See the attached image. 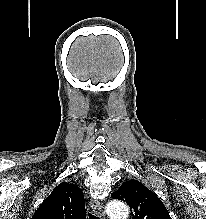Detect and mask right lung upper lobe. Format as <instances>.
<instances>
[{
  "mask_svg": "<svg viewBox=\"0 0 206 219\" xmlns=\"http://www.w3.org/2000/svg\"><path fill=\"white\" fill-rule=\"evenodd\" d=\"M31 219H86L83 192L74 184L61 183Z\"/></svg>",
  "mask_w": 206,
  "mask_h": 219,
  "instance_id": "right-lung-upper-lobe-1",
  "label": "right lung upper lobe"
}]
</instances>
